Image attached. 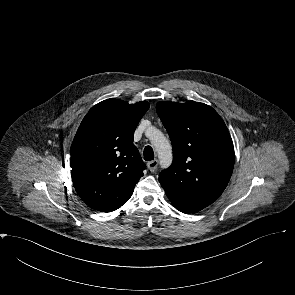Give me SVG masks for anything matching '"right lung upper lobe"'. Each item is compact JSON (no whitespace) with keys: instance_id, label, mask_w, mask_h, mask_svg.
Masks as SVG:
<instances>
[{"instance_id":"1","label":"right lung upper lobe","mask_w":295,"mask_h":295,"mask_svg":"<svg viewBox=\"0 0 295 295\" xmlns=\"http://www.w3.org/2000/svg\"><path fill=\"white\" fill-rule=\"evenodd\" d=\"M149 108L107 99L81 122L71 145L74 188L92 209L111 212L132 195L145 164L133 142L134 131Z\"/></svg>"}]
</instances>
